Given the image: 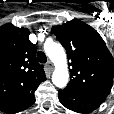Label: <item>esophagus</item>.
<instances>
[{"instance_id": "34e87169", "label": "esophagus", "mask_w": 114, "mask_h": 114, "mask_svg": "<svg viewBox=\"0 0 114 114\" xmlns=\"http://www.w3.org/2000/svg\"><path fill=\"white\" fill-rule=\"evenodd\" d=\"M53 63L51 62V61H48L47 62V68H48V70H49V72H52L53 71Z\"/></svg>"}]
</instances>
